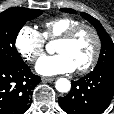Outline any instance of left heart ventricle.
Returning a JSON list of instances; mask_svg holds the SVG:
<instances>
[{"label":"left heart ventricle","instance_id":"obj_1","mask_svg":"<svg viewBox=\"0 0 114 114\" xmlns=\"http://www.w3.org/2000/svg\"><path fill=\"white\" fill-rule=\"evenodd\" d=\"M94 50V39L86 31H80L71 41H57L55 51L66 54L75 64L76 68L86 64Z\"/></svg>","mask_w":114,"mask_h":114}]
</instances>
